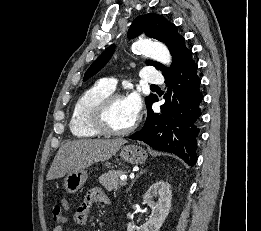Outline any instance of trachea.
I'll list each match as a JSON object with an SVG mask.
<instances>
[{
  "mask_svg": "<svg viewBox=\"0 0 261 231\" xmlns=\"http://www.w3.org/2000/svg\"><path fill=\"white\" fill-rule=\"evenodd\" d=\"M151 87H157L156 85H151Z\"/></svg>",
  "mask_w": 261,
  "mask_h": 231,
  "instance_id": "1",
  "label": "trachea"
}]
</instances>
